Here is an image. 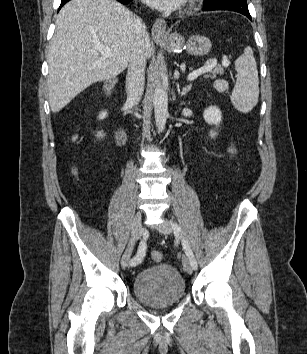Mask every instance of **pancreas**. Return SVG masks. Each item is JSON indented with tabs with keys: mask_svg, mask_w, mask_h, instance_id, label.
I'll use <instances>...</instances> for the list:
<instances>
[{
	"mask_svg": "<svg viewBox=\"0 0 307 354\" xmlns=\"http://www.w3.org/2000/svg\"><path fill=\"white\" fill-rule=\"evenodd\" d=\"M217 74H224L223 67L217 66L215 67L209 75H205L204 77H210V78H215Z\"/></svg>",
	"mask_w": 307,
	"mask_h": 354,
	"instance_id": "pancreas-1",
	"label": "pancreas"
}]
</instances>
